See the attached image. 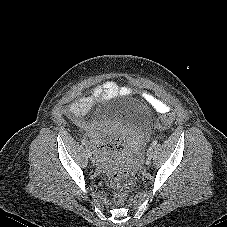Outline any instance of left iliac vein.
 Instances as JSON below:
<instances>
[{
	"mask_svg": "<svg viewBox=\"0 0 227 227\" xmlns=\"http://www.w3.org/2000/svg\"><path fill=\"white\" fill-rule=\"evenodd\" d=\"M154 155V149L153 147H149V149L147 150L146 156L148 159H151Z\"/></svg>",
	"mask_w": 227,
	"mask_h": 227,
	"instance_id": "4c4485c4",
	"label": "left iliac vein"
}]
</instances>
